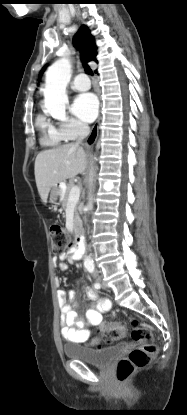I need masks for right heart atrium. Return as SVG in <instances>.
Segmentation results:
<instances>
[{"label": "right heart atrium", "mask_w": 187, "mask_h": 415, "mask_svg": "<svg viewBox=\"0 0 187 415\" xmlns=\"http://www.w3.org/2000/svg\"><path fill=\"white\" fill-rule=\"evenodd\" d=\"M59 128L65 140H74L80 135L84 134L87 127L80 121L74 118H68L59 124Z\"/></svg>", "instance_id": "d8ad5b80"}]
</instances>
